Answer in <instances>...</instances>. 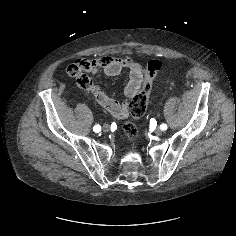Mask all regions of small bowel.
I'll list each match as a JSON object with an SVG mask.
<instances>
[{"instance_id": "obj_1", "label": "small bowel", "mask_w": 236, "mask_h": 236, "mask_svg": "<svg viewBox=\"0 0 236 236\" xmlns=\"http://www.w3.org/2000/svg\"><path fill=\"white\" fill-rule=\"evenodd\" d=\"M68 67V75L87 95H94L97 102L109 113L117 118H125L131 110V103L127 99L134 97L143 85L144 68L140 62L125 56L121 58L104 55L100 58L88 60L78 59ZM101 70L107 76H117L122 71L129 72V81L124 88V96L114 100L99 89V83L94 74Z\"/></svg>"}]
</instances>
